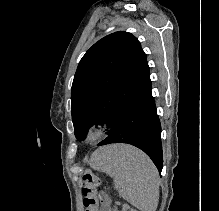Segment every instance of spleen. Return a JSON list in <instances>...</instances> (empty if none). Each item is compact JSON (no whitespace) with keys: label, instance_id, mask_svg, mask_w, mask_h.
<instances>
[{"label":"spleen","instance_id":"obj_1","mask_svg":"<svg viewBox=\"0 0 219 211\" xmlns=\"http://www.w3.org/2000/svg\"><path fill=\"white\" fill-rule=\"evenodd\" d=\"M90 167L113 177L121 197L141 211H156L159 201L158 169L152 159L129 143L98 147Z\"/></svg>","mask_w":219,"mask_h":211}]
</instances>
